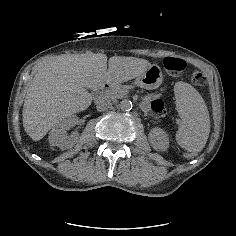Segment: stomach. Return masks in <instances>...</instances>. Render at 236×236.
<instances>
[{
  "instance_id": "stomach-1",
  "label": "stomach",
  "mask_w": 236,
  "mask_h": 236,
  "mask_svg": "<svg viewBox=\"0 0 236 236\" xmlns=\"http://www.w3.org/2000/svg\"><path fill=\"white\" fill-rule=\"evenodd\" d=\"M163 81V74L159 66H150L142 75L136 78V84L145 89H156Z\"/></svg>"
}]
</instances>
